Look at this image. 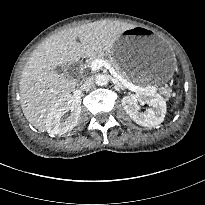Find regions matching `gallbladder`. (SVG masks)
Instances as JSON below:
<instances>
[{"instance_id": "obj_1", "label": "gallbladder", "mask_w": 205, "mask_h": 205, "mask_svg": "<svg viewBox=\"0 0 205 205\" xmlns=\"http://www.w3.org/2000/svg\"><path fill=\"white\" fill-rule=\"evenodd\" d=\"M55 70L60 74H64V75H67L69 77H72V72L70 71V69L65 70L62 66H57L55 68Z\"/></svg>"}]
</instances>
